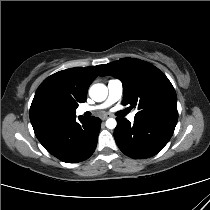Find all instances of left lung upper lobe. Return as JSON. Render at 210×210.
Masks as SVG:
<instances>
[{"mask_svg": "<svg viewBox=\"0 0 210 210\" xmlns=\"http://www.w3.org/2000/svg\"><path fill=\"white\" fill-rule=\"evenodd\" d=\"M100 76L112 75L122 81L123 105L137 107L135 119L177 123V96L171 82L152 64L123 58L103 65Z\"/></svg>", "mask_w": 210, "mask_h": 210, "instance_id": "left-lung-upper-lobe-1", "label": "left lung upper lobe"}]
</instances>
